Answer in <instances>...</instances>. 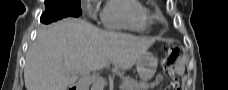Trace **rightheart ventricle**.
<instances>
[{
	"mask_svg": "<svg viewBox=\"0 0 228 90\" xmlns=\"http://www.w3.org/2000/svg\"><path fill=\"white\" fill-rule=\"evenodd\" d=\"M102 21L108 28L144 32L150 24V11L142 1L110 0L103 8Z\"/></svg>",
	"mask_w": 228,
	"mask_h": 90,
	"instance_id": "right-heart-ventricle-1",
	"label": "right heart ventricle"
}]
</instances>
